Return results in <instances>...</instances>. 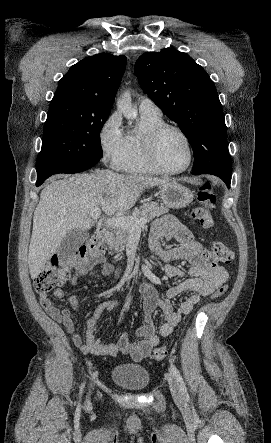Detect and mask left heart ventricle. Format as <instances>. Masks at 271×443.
I'll list each match as a JSON object with an SVG mask.
<instances>
[{
  "label": "left heart ventricle",
  "instance_id": "1",
  "mask_svg": "<svg viewBox=\"0 0 271 443\" xmlns=\"http://www.w3.org/2000/svg\"><path fill=\"white\" fill-rule=\"evenodd\" d=\"M158 153L165 166L178 169L186 165L189 150L183 137L176 131H167L160 139Z\"/></svg>",
  "mask_w": 271,
  "mask_h": 443
}]
</instances>
